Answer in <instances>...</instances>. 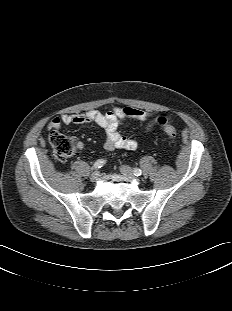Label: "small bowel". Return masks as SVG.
<instances>
[{
	"label": "small bowel",
	"mask_w": 232,
	"mask_h": 311,
	"mask_svg": "<svg viewBox=\"0 0 232 311\" xmlns=\"http://www.w3.org/2000/svg\"><path fill=\"white\" fill-rule=\"evenodd\" d=\"M152 117L153 114L151 112L140 108L115 107L107 113L91 110L78 115L62 114L51 119L47 124V129L50 131H59L62 125L95 124L104 131V148L106 150H135L138 146L137 141L119 131L122 121L126 119L145 121ZM151 129L152 124H150L146 130L149 132ZM77 147L82 150L84 148V143L78 142Z\"/></svg>",
	"instance_id": "obj_1"
}]
</instances>
